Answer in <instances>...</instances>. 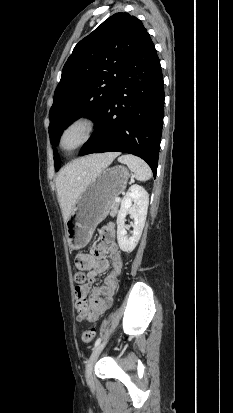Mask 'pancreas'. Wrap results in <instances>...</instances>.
Instances as JSON below:
<instances>
[{
    "instance_id": "pancreas-1",
    "label": "pancreas",
    "mask_w": 233,
    "mask_h": 413,
    "mask_svg": "<svg viewBox=\"0 0 233 413\" xmlns=\"http://www.w3.org/2000/svg\"><path fill=\"white\" fill-rule=\"evenodd\" d=\"M118 208H119V202H116L115 200H113L110 203V207H109L110 215L113 217L116 216Z\"/></svg>"
}]
</instances>
